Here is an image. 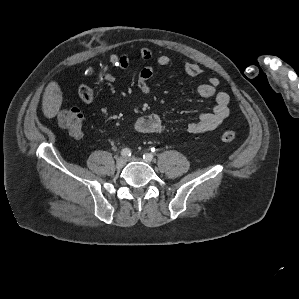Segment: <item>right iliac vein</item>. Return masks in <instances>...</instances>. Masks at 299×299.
Returning <instances> with one entry per match:
<instances>
[{
	"label": "right iliac vein",
	"mask_w": 299,
	"mask_h": 299,
	"mask_svg": "<svg viewBox=\"0 0 299 299\" xmlns=\"http://www.w3.org/2000/svg\"><path fill=\"white\" fill-rule=\"evenodd\" d=\"M126 164V158L124 157H119L117 160H116V167L118 169H121L125 166Z\"/></svg>",
	"instance_id": "right-iliac-vein-1"
}]
</instances>
